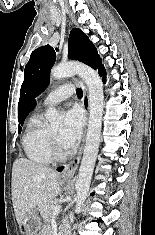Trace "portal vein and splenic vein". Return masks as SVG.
<instances>
[{"label":"portal vein and splenic vein","instance_id":"1","mask_svg":"<svg viewBox=\"0 0 155 235\" xmlns=\"http://www.w3.org/2000/svg\"><path fill=\"white\" fill-rule=\"evenodd\" d=\"M60 210H61V206H60V205L55 206V207L53 208L52 215H53V216L58 215L59 212H60Z\"/></svg>","mask_w":155,"mask_h":235}]
</instances>
